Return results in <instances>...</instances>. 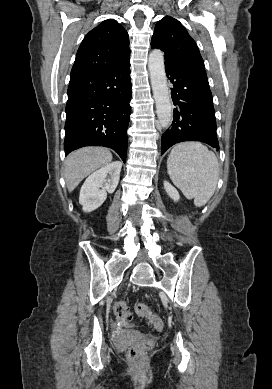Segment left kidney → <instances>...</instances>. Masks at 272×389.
I'll list each match as a JSON object with an SVG mask.
<instances>
[{"label": "left kidney", "mask_w": 272, "mask_h": 389, "mask_svg": "<svg viewBox=\"0 0 272 389\" xmlns=\"http://www.w3.org/2000/svg\"><path fill=\"white\" fill-rule=\"evenodd\" d=\"M164 188L172 200L178 201L180 199V195L177 189L173 187L168 181H164Z\"/></svg>", "instance_id": "left-kidney-1"}]
</instances>
